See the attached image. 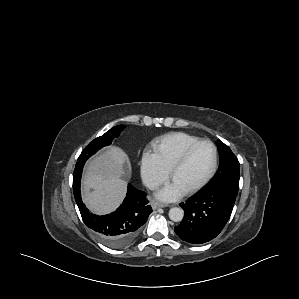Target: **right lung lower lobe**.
<instances>
[{"instance_id":"right-lung-lower-lobe-1","label":"right lung lower lobe","mask_w":299,"mask_h":299,"mask_svg":"<svg viewBox=\"0 0 299 299\" xmlns=\"http://www.w3.org/2000/svg\"><path fill=\"white\" fill-rule=\"evenodd\" d=\"M88 158H78L73 173V192L82 219L106 245L116 249L124 248L135 240L152 208L147 204L146 193L129 184L126 198L115 212L105 216L90 213L80 195L82 169Z\"/></svg>"}]
</instances>
